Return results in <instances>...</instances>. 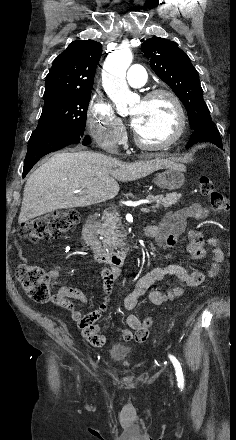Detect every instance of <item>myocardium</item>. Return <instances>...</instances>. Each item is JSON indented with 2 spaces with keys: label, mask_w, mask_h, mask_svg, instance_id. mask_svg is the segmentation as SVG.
I'll list each match as a JSON object with an SVG mask.
<instances>
[{
  "label": "myocardium",
  "mask_w": 236,
  "mask_h": 440,
  "mask_svg": "<svg viewBox=\"0 0 236 440\" xmlns=\"http://www.w3.org/2000/svg\"><path fill=\"white\" fill-rule=\"evenodd\" d=\"M159 97H167L171 101V103L173 104V107H174L175 113H176V118H177L176 130L170 139H168L162 143H156V144L145 142L135 132L134 133V141H135L136 145L142 149H145V150L156 151V150H163V149L169 148L172 145L176 144L183 137L185 130H186L185 110H184V107L182 105L181 100L174 92H172L168 89H163V88L154 89V90L147 92L143 96L142 101H150L152 99L159 98Z\"/></svg>",
  "instance_id": "obj_1"
}]
</instances>
